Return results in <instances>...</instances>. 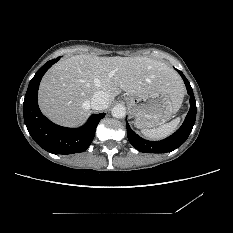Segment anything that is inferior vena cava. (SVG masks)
Instances as JSON below:
<instances>
[{"label":"inferior vena cava","instance_id":"1","mask_svg":"<svg viewBox=\"0 0 233 233\" xmlns=\"http://www.w3.org/2000/svg\"><path fill=\"white\" fill-rule=\"evenodd\" d=\"M109 105L108 95L103 91H97L91 98V108L94 110L106 109Z\"/></svg>","mask_w":233,"mask_h":233}]
</instances>
